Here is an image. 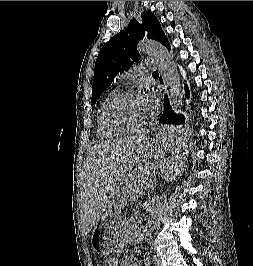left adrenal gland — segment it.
Returning a JSON list of instances; mask_svg holds the SVG:
<instances>
[{"instance_id": "a2214340", "label": "left adrenal gland", "mask_w": 253, "mask_h": 266, "mask_svg": "<svg viewBox=\"0 0 253 266\" xmlns=\"http://www.w3.org/2000/svg\"><path fill=\"white\" fill-rule=\"evenodd\" d=\"M156 186V183L155 182H152V180H150V184H149V187L154 189Z\"/></svg>"}]
</instances>
